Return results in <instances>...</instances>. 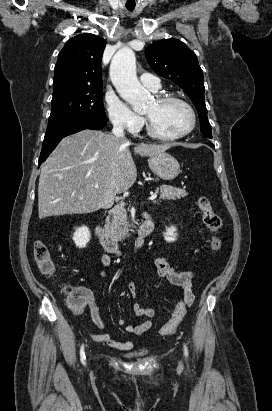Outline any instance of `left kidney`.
Instances as JSON below:
<instances>
[{
    "mask_svg": "<svg viewBox=\"0 0 272 411\" xmlns=\"http://www.w3.org/2000/svg\"><path fill=\"white\" fill-rule=\"evenodd\" d=\"M176 230H177V229H176L174 226H171V227L166 228V232L164 233V239H165L167 242H173V241H175V240H176V236H177Z\"/></svg>",
    "mask_w": 272,
    "mask_h": 411,
    "instance_id": "left-kidney-1",
    "label": "left kidney"
}]
</instances>
